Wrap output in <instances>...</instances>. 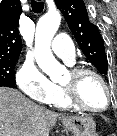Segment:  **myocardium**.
Segmentation results:
<instances>
[{
  "instance_id": "f54148a6",
  "label": "myocardium",
  "mask_w": 117,
  "mask_h": 136,
  "mask_svg": "<svg viewBox=\"0 0 117 136\" xmlns=\"http://www.w3.org/2000/svg\"><path fill=\"white\" fill-rule=\"evenodd\" d=\"M69 72L74 79H78L81 76L87 75V74L93 75L103 85L105 92H106V96H107V102H106L105 107H103L101 109H92V108L85 106L84 104H82L79 101V99L77 97L75 85L68 86V85L61 84V89L64 93V96H65L66 100L68 101V103L72 107H74L78 110H81V111L89 112V113H102V112H105L106 110L109 109V107L112 104V97H113L112 91H111L108 83L104 79V77L99 72H97L93 69H90V68H85V67H74V68L70 69Z\"/></svg>"
}]
</instances>
